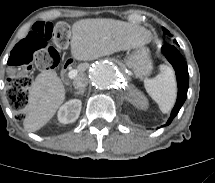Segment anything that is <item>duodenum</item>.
<instances>
[{"instance_id":"duodenum-1","label":"duodenum","mask_w":215,"mask_h":183,"mask_svg":"<svg viewBox=\"0 0 215 183\" xmlns=\"http://www.w3.org/2000/svg\"><path fill=\"white\" fill-rule=\"evenodd\" d=\"M73 60L72 59H67L65 60L63 64V72H62V78H65L66 71L72 66Z\"/></svg>"}]
</instances>
